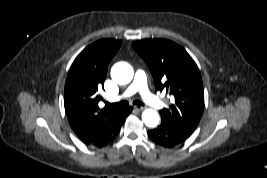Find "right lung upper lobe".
Masks as SVG:
<instances>
[{
    "label": "right lung upper lobe",
    "instance_id": "obj_1",
    "mask_svg": "<svg viewBox=\"0 0 267 178\" xmlns=\"http://www.w3.org/2000/svg\"><path fill=\"white\" fill-rule=\"evenodd\" d=\"M121 40L102 39L86 47L74 60L65 83L64 106L77 136H85L96 125L110 120L119 109H99L107 67Z\"/></svg>",
    "mask_w": 267,
    "mask_h": 178
}]
</instances>
